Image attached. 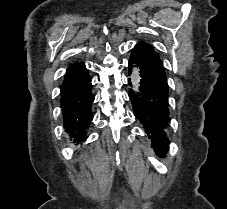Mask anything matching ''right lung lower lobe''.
Returning a JSON list of instances; mask_svg holds the SVG:
<instances>
[{
	"instance_id": "98d812e1",
	"label": "right lung lower lobe",
	"mask_w": 227,
	"mask_h": 209,
	"mask_svg": "<svg viewBox=\"0 0 227 209\" xmlns=\"http://www.w3.org/2000/svg\"><path fill=\"white\" fill-rule=\"evenodd\" d=\"M60 89L65 130L74 142H81L86 138V129L93 119L91 104L94 100L91 78L83 63L73 64L67 69Z\"/></svg>"
}]
</instances>
